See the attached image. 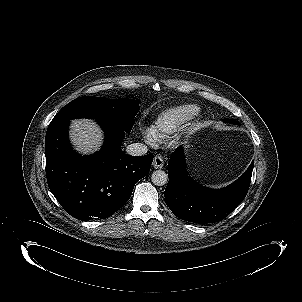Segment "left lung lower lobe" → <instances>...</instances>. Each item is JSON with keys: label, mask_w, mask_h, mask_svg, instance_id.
Wrapping results in <instances>:
<instances>
[{"label": "left lung lower lobe", "mask_w": 302, "mask_h": 302, "mask_svg": "<svg viewBox=\"0 0 302 302\" xmlns=\"http://www.w3.org/2000/svg\"><path fill=\"white\" fill-rule=\"evenodd\" d=\"M254 162L246 172L223 189L202 187L188 176L182 147L168 162L169 181L164 192L165 203L173 214L194 223H214L224 219L245 198Z\"/></svg>", "instance_id": "left-lung-lower-lobe-1"}]
</instances>
